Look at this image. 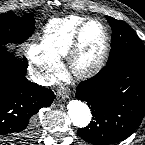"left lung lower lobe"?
<instances>
[{"label":"left lung lower lobe","instance_id":"0a47b994","mask_svg":"<svg viewBox=\"0 0 145 145\" xmlns=\"http://www.w3.org/2000/svg\"><path fill=\"white\" fill-rule=\"evenodd\" d=\"M86 101L93 121L78 135L94 145H111L126 139L145 114V64L123 61L102 68L76 89Z\"/></svg>","mask_w":145,"mask_h":145}]
</instances>
